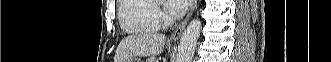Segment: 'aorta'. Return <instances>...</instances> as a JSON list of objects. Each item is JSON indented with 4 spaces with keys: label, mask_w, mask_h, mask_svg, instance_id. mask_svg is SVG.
Segmentation results:
<instances>
[{
    "label": "aorta",
    "mask_w": 331,
    "mask_h": 62,
    "mask_svg": "<svg viewBox=\"0 0 331 62\" xmlns=\"http://www.w3.org/2000/svg\"><path fill=\"white\" fill-rule=\"evenodd\" d=\"M200 30L201 22L199 19H194L189 23L181 36L176 62H192Z\"/></svg>",
    "instance_id": "762f6f07"
}]
</instances>
